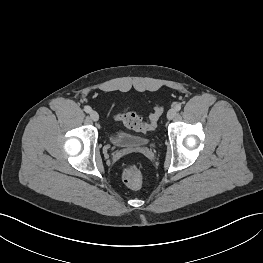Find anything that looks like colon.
Listing matches in <instances>:
<instances>
[{
  "label": "colon",
  "mask_w": 263,
  "mask_h": 263,
  "mask_svg": "<svg viewBox=\"0 0 263 263\" xmlns=\"http://www.w3.org/2000/svg\"><path fill=\"white\" fill-rule=\"evenodd\" d=\"M162 110L163 105H156L149 121L144 122L136 112L125 109L121 115V119L125 125L131 129L140 132H149L156 128ZM121 175L123 182L130 188H139L143 183V172L141 168L134 163L126 164L122 169Z\"/></svg>",
  "instance_id": "colon-1"
}]
</instances>
